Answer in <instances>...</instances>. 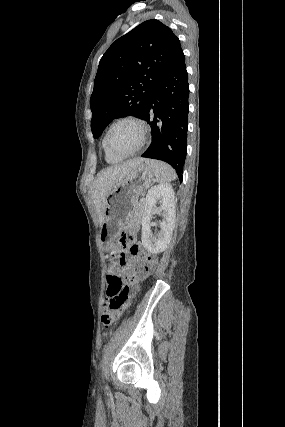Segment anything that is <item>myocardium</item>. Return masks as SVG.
<instances>
[{"mask_svg": "<svg viewBox=\"0 0 285 427\" xmlns=\"http://www.w3.org/2000/svg\"><path fill=\"white\" fill-rule=\"evenodd\" d=\"M124 122L133 123L139 128V130H140V141L132 151L127 152V153H119V152H116L110 148L109 143H108V139H109V134H110L112 128L114 126H116L117 124L124 123ZM147 135H148V128H147V125H146L144 120H142L141 118L135 117V116H124V117L116 119L115 121H113L110 124V126L108 127V129L105 133V136H104V144H105L106 149L111 154L118 156V157H121V158H126V157H130V156L136 154L145 145L146 140H147Z\"/></svg>", "mask_w": 285, "mask_h": 427, "instance_id": "1", "label": "myocardium"}]
</instances>
